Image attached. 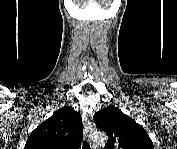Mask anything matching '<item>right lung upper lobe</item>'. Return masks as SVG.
<instances>
[{"label":"right lung upper lobe","mask_w":177,"mask_h":149,"mask_svg":"<svg viewBox=\"0 0 177 149\" xmlns=\"http://www.w3.org/2000/svg\"><path fill=\"white\" fill-rule=\"evenodd\" d=\"M83 139L80 113L63 107L30 134L25 149H76Z\"/></svg>","instance_id":"right-lung-upper-lobe-1"}]
</instances>
